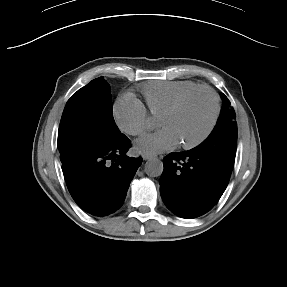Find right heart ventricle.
<instances>
[{
    "instance_id": "right-heart-ventricle-1",
    "label": "right heart ventricle",
    "mask_w": 287,
    "mask_h": 287,
    "mask_svg": "<svg viewBox=\"0 0 287 287\" xmlns=\"http://www.w3.org/2000/svg\"><path fill=\"white\" fill-rule=\"evenodd\" d=\"M197 86L192 81H160L145 85L142 93L151 114L161 117L180 96Z\"/></svg>"
}]
</instances>
